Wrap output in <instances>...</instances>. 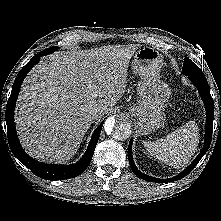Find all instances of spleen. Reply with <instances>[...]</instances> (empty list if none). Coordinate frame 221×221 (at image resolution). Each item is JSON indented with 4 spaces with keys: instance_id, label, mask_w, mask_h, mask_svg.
Returning a JSON list of instances; mask_svg holds the SVG:
<instances>
[{
    "instance_id": "obj_1",
    "label": "spleen",
    "mask_w": 221,
    "mask_h": 221,
    "mask_svg": "<svg viewBox=\"0 0 221 221\" xmlns=\"http://www.w3.org/2000/svg\"><path fill=\"white\" fill-rule=\"evenodd\" d=\"M199 141L198 126L190 121L158 141H144V147L154 158L174 168L187 166Z\"/></svg>"
}]
</instances>
